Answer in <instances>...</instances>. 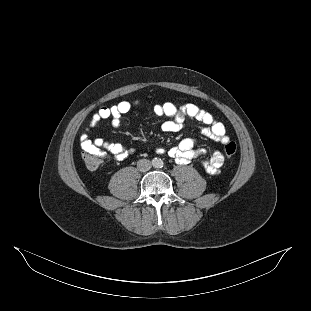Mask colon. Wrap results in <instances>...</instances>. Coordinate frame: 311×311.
I'll list each match as a JSON object with an SVG mask.
<instances>
[{"mask_svg": "<svg viewBox=\"0 0 311 311\" xmlns=\"http://www.w3.org/2000/svg\"><path fill=\"white\" fill-rule=\"evenodd\" d=\"M236 150L235 142H228L224 147V153L228 158H232L236 154ZM82 157L87 168L91 170L97 169L102 163V156L97 151L83 150Z\"/></svg>", "mask_w": 311, "mask_h": 311, "instance_id": "5ec220e1", "label": "colon"}]
</instances>
